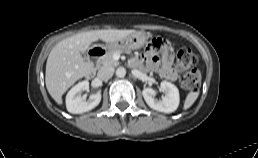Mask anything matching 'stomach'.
<instances>
[{
  "label": "stomach",
  "instance_id": "0dacf381",
  "mask_svg": "<svg viewBox=\"0 0 258 158\" xmlns=\"http://www.w3.org/2000/svg\"><path fill=\"white\" fill-rule=\"evenodd\" d=\"M147 34L142 31H135L130 35L117 40L115 42L106 43L103 45L106 49L121 48V49H139L144 46L147 41Z\"/></svg>",
  "mask_w": 258,
  "mask_h": 158
}]
</instances>
